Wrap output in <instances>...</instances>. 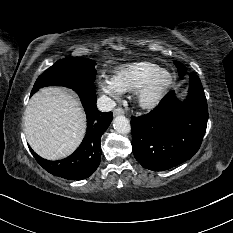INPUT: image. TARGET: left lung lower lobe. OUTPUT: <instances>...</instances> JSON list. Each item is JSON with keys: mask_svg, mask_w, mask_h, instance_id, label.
I'll return each instance as SVG.
<instances>
[{"mask_svg": "<svg viewBox=\"0 0 233 233\" xmlns=\"http://www.w3.org/2000/svg\"><path fill=\"white\" fill-rule=\"evenodd\" d=\"M131 119L132 150L143 167L164 171L189 160L201 145L208 120L207 100L198 76L190 74L185 102L170 92L152 112Z\"/></svg>", "mask_w": 233, "mask_h": 233, "instance_id": "left-lung-lower-lobe-1", "label": "left lung lower lobe"}]
</instances>
